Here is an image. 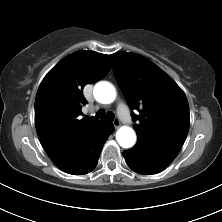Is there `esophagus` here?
I'll return each mask as SVG.
<instances>
[{
    "label": "esophagus",
    "instance_id": "1",
    "mask_svg": "<svg viewBox=\"0 0 222 222\" xmlns=\"http://www.w3.org/2000/svg\"><path fill=\"white\" fill-rule=\"evenodd\" d=\"M113 125H114L115 128H119V126H120V121H119L118 119H115V120L113 121Z\"/></svg>",
    "mask_w": 222,
    "mask_h": 222
}]
</instances>
